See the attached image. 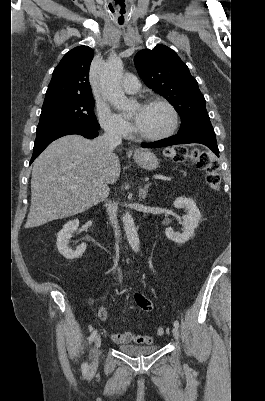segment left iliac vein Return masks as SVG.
Listing matches in <instances>:
<instances>
[{
  "label": "left iliac vein",
  "instance_id": "obj_1",
  "mask_svg": "<svg viewBox=\"0 0 265 401\" xmlns=\"http://www.w3.org/2000/svg\"><path fill=\"white\" fill-rule=\"evenodd\" d=\"M172 334H173L174 339H175L176 341H179V330H178V328L173 327V329H172Z\"/></svg>",
  "mask_w": 265,
  "mask_h": 401
}]
</instances>
